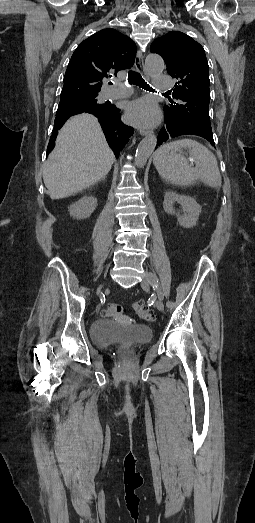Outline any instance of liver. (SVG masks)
<instances>
[{"instance_id":"6515ba94","label":"liver","mask_w":255,"mask_h":523,"mask_svg":"<svg viewBox=\"0 0 255 523\" xmlns=\"http://www.w3.org/2000/svg\"><path fill=\"white\" fill-rule=\"evenodd\" d=\"M115 162L101 126L91 114L70 118L42 168L51 200L67 198L107 176Z\"/></svg>"}]
</instances>
